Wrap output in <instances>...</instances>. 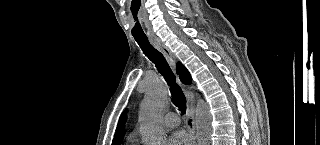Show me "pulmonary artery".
<instances>
[{
  "mask_svg": "<svg viewBox=\"0 0 320 145\" xmlns=\"http://www.w3.org/2000/svg\"><path fill=\"white\" fill-rule=\"evenodd\" d=\"M163 123L166 127L174 128L179 125L180 119L177 114L170 112L163 117Z\"/></svg>",
  "mask_w": 320,
  "mask_h": 145,
  "instance_id": "obj_1",
  "label": "pulmonary artery"
}]
</instances>
